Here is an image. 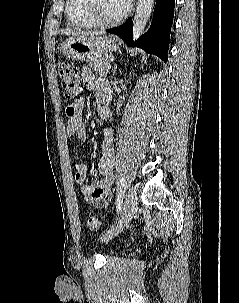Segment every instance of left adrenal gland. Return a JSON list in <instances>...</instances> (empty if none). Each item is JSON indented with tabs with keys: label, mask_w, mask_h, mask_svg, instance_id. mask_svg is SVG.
<instances>
[{
	"label": "left adrenal gland",
	"mask_w": 239,
	"mask_h": 303,
	"mask_svg": "<svg viewBox=\"0 0 239 303\" xmlns=\"http://www.w3.org/2000/svg\"><path fill=\"white\" fill-rule=\"evenodd\" d=\"M116 71H117V65H115L113 70H112L113 75L116 73Z\"/></svg>",
	"instance_id": "1"
}]
</instances>
